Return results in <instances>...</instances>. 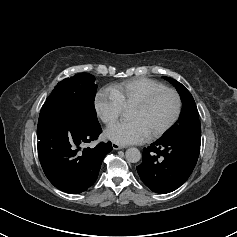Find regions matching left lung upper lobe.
I'll list each match as a JSON object with an SVG mask.
<instances>
[{"mask_svg":"<svg viewBox=\"0 0 237 237\" xmlns=\"http://www.w3.org/2000/svg\"><path fill=\"white\" fill-rule=\"evenodd\" d=\"M173 84L182 101V112L179 121L162 137L164 139H176L185 136H201V126L198 110L190 92L178 81L165 77Z\"/></svg>","mask_w":237,"mask_h":237,"instance_id":"5c2ea615","label":"left lung upper lobe"}]
</instances>
